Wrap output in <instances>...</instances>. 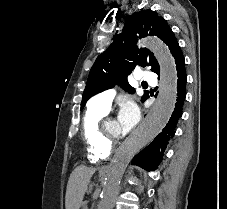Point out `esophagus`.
<instances>
[{"label":"esophagus","instance_id":"34e87169","mask_svg":"<svg viewBox=\"0 0 227 209\" xmlns=\"http://www.w3.org/2000/svg\"><path fill=\"white\" fill-rule=\"evenodd\" d=\"M152 112H153L152 108H147L146 112H144L143 120H140V121H150ZM108 170H109V167H106V169H102L101 172H97V177H106Z\"/></svg>","mask_w":227,"mask_h":209}]
</instances>
